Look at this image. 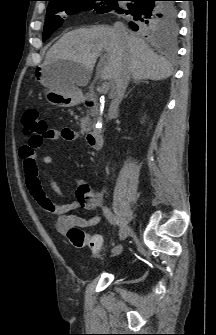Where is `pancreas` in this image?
Returning <instances> with one entry per match:
<instances>
[{"label":"pancreas","mask_w":216,"mask_h":335,"mask_svg":"<svg viewBox=\"0 0 216 335\" xmlns=\"http://www.w3.org/2000/svg\"><path fill=\"white\" fill-rule=\"evenodd\" d=\"M90 114H87V116L85 118L82 119L81 121V134H84L86 132H88L92 125H91V120H90Z\"/></svg>","instance_id":"cf45deb5"}]
</instances>
